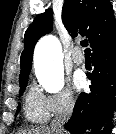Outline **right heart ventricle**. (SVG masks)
<instances>
[{"label":"right heart ventricle","instance_id":"right-heart-ventricle-1","mask_svg":"<svg viewBox=\"0 0 116 134\" xmlns=\"http://www.w3.org/2000/svg\"><path fill=\"white\" fill-rule=\"evenodd\" d=\"M24 114L26 120L31 123H44L50 116L44 95L35 88H30L25 96Z\"/></svg>","mask_w":116,"mask_h":134}]
</instances>
